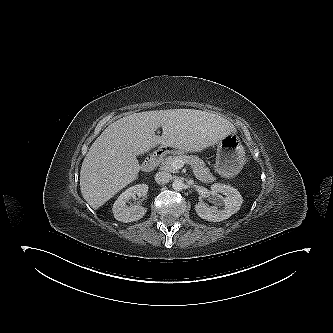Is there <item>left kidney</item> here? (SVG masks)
<instances>
[{
    "label": "left kidney",
    "instance_id": "obj_1",
    "mask_svg": "<svg viewBox=\"0 0 333 333\" xmlns=\"http://www.w3.org/2000/svg\"><path fill=\"white\" fill-rule=\"evenodd\" d=\"M211 190L214 195H217V193L225 195V197L221 198L225 207L218 209L216 206L208 207L205 203L198 202L195 205V211L200 218L211 222H220L238 212L243 199L237 189L217 183L211 186Z\"/></svg>",
    "mask_w": 333,
    "mask_h": 333
}]
</instances>
